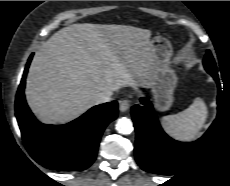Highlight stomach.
Listing matches in <instances>:
<instances>
[{
	"label": "stomach",
	"instance_id": "0dacf381",
	"mask_svg": "<svg viewBox=\"0 0 230 186\" xmlns=\"http://www.w3.org/2000/svg\"><path fill=\"white\" fill-rule=\"evenodd\" d=\"M156 66L149 80L154 95L155 106L159 111L168 110L173 103V93L177 85V76L170 67L172 46L162 35H156L151 41Z\"/></svg>",
	"mask_w": 230,
	"mask_h": 186
}]
</instances>
